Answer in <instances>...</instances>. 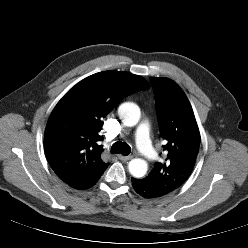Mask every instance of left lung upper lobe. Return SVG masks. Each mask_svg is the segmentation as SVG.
Masks as SVG:
<instances>
[{
	"label": "left lung upper lobe",
	"mask_w": 248,
	"mask_h": 248,
	"mask_svg": "<svg viewBox=\"0 0 248 248\" xmlns=\"http://www.w3.org/2000/svg\"><path fill=\"white\" fill-rule=\"evenodd\" d=\"M156 102L160 136L168 151L141 179L161 196L179 188L191 175L200 146V132L191 105L182 89L169 78H150Z\"/></svg>",
	"instance_id": "obj_1"
}]
</instances>
